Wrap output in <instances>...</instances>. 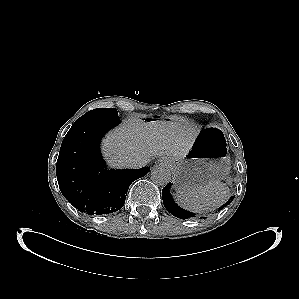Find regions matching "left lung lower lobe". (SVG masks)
Listing matches in <instances>:
<instances>
[{
    "instance_id": "obj_1",
    "label": "left lung lower lobe",
    "mask_w": 299,
    "mask_h": 299,
    "mask_svg": "<svg viewBox=\"0 0 299 299\" xmlns=\"http://www.w3.org/2000/svg\"><path fill=\"white\" fill-rule=\"evenodd\" d=\"M171 187V183L167 184L163 190H162V199H163V203L165 208L175 217L180 218V219H187V218H191L194 217V213H191L189 211H186L184 209H182L181 207H179L178 205H176L174 203V200L169 192V189ZM234 199V196H232L228 202H226L225 204H223L219 210H222L224 207H226L227 205H229Z\"/></svg>"
}]
</instances>
